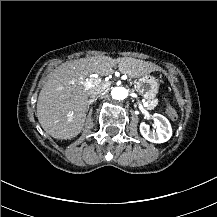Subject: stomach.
<instances>
[{"instance_id":"0dacf381","label":"stomach","mask_w":217,"mask_h":217,"mask_svg":"<svg viewBox=\"0 0 217 217\" xmlns=\"http://www.w3.org/2000/svg\"><path fill=\"white\" fill-rule=\"evenodd\" d=\"M136 90L144 98L153 99L158 93L159 81L151 74L144 75L136 83Z\"/></svg>"}]
</instances>
